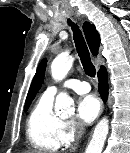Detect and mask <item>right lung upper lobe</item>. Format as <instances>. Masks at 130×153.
<instances>
[{"label": "right lung upper lobe", "instance_id": "cb5924a9", "mask_svg": "<svg viewBox=\"0 0 130 153\" xmlns=\"http://www.w3.org/2000/svg\"><path fill=\"white\" fill-rule=\"evenodd\" d=\"M83 30H84V34L92 54L97 55L99 45H100L99 33L97 32L95 26L89 22L84 23ZM46 63H47L46 59H43L40 62L37 68L36 74L34 76V79L32 81V84L30 86V89L26 98V103L32 101L36 93L38 92V90L41 88V85L44 79Z\"/></svg>", "mask_w": 130, "mask_h": 153}]
</instances>
